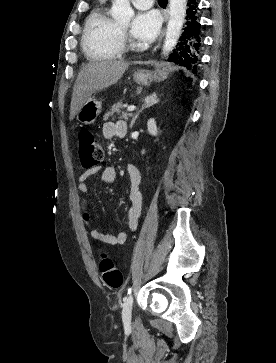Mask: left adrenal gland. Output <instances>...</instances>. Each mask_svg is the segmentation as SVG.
Returning <instances> with one entry per match:
<instances>
[{"instance_id":"left-adrenal-gland-1","label":"left adrenal gland","mask_w":276,"mask_h":363,"mask_svg":"<svg viewBox=\"0 0 276 363\" xmlns=\"http://www.w3.org/2000/svg\"><path fill=\"white\" fill-rule=\"evenodd\" d=\"M159 102V99L157 98V94L156 93H153L151 94L150 96L146 97L144 100H143V105L141 107V109L135 114V116L133 117L132 121H131V124H130V128L133 127L136 119L138 118L139 114L144 110V109H147L155 104H157Z\"/></svg>"}]
</instances>
